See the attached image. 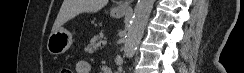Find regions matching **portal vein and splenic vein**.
I'll return each instance as SVG.
<instances>
[{
  "instance_id": "1",
  "label": "portal vein and splenic vein",
  "mask_w": 244,
  "mask_h": 73,
  "mask_svg": "<svg viewBox=\"0 0 244 73\" xmlns=\"http://www.w3.org/2000/svg\"><path fill=\"white\" fill-rule=\"evenodd\" d=\"M107 44V41H102V45L105 46Z\"/></svg>"
}]
</instances>
